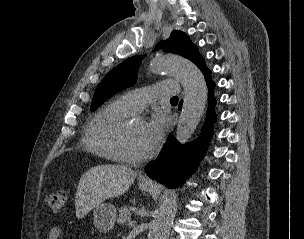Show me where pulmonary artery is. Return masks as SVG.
<instances>
[{"mask_svg":"<svg viewBox=\"0 0 304 239\" xmlns=\"http://www.w3.org/2000/svg\"><path fill=\"white\" fill-rule=\"evenodd\" d=\"M178 91L179 87L176 82L162 81L152 86L128 91L120 99L134 112H137L157 98L174 96Z\"/></svg>","mask_w":304,"mask_h":239,"instance_id":"e3ab8cb5","label":"pulmonary artery"}]
</instances>
